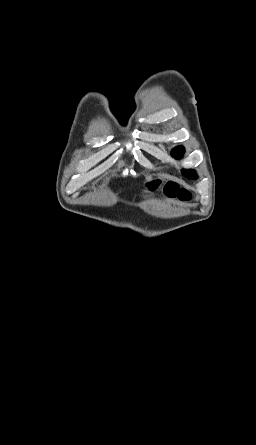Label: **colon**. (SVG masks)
I'll use <instances>...</instances> for the list:
<instances>
[{"label":"colon","mask_w":256,"mask_h":445,"mask_svg":"<svg viewBox=\"0 0 256 445\" xmlns=\"http://www.w3.org/2000/svg\"><path fill=\"white\" fill-rule=\"evenodd\" d=\"M157 186V182L150 184L151 189H156ZM164 193L169 198H179L182 201H187L190 199L189 192L185 189L180 188L176 183H167L164 186Z\"/></svg>","instance_id":"colon-1"}]
</instances>
